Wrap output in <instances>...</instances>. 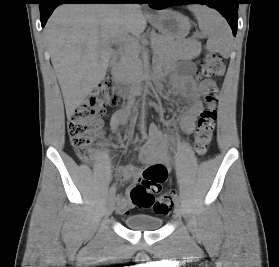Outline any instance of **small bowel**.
<instances>
[{"label":"small bowel","instance_id":"small-bowel-1","mask_svg":"<svg viewBox=\"0 0 279 267\" xmlns=\"http://www.w3.org/2000/svg\"><path fill=\"white\" fill-rule=\"evenodd\" d=\"M173 65L157 67V73L172 71ZM196 67L192 62H185L181 68L176 71L172 78V89L176 95L182 96L186 100V104L181 109L180 125L184 132L191 133L196 125L197 117L202 108L201 96L210 88L214 87V83L210 80H201L194 77ZM129 111H122L117 117L111 121L112 130L116 133L120 132L122 125L128 124ZM171 126L174 124L171 122ZM134 139L138 138L136 133H132ZM139 159L142 163L149 166H158L165 170L167 179L170 169V160L168 155V144L162 138L156 125L149 126L146 134V141L139 150ZM118 177L133 184L140 178L139 169L129 163L118 171ZM164 180V181H165ZM134 204L132 203L129 191L126 194L119 195L116 199V209L120 213H128Z\"/></svg>","mask_w":279,"mask_h":267}]
</instances>
